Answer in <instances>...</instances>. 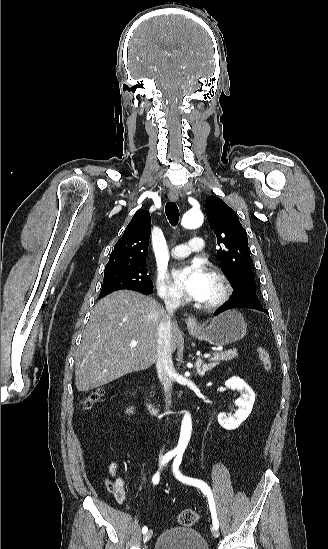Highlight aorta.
Instances as JSON below:
<instances>
[{"label":"aorta","mask_w":328,"mask_h":549,"mask_svg":"<svg viewBox=\"0 0 328 549\" xmlns=\"http://www.w3.org/2000/svg\"><path fill=\"white\" fill-rule=\"evenodd\" d=\"M204 220L203 214L197 210L187 211L181 221V225L186 229H195L202 225ZM192 430L191 416L188 412L185 413L182 423L180 438L177 445V450L184 451L188 445Z\"/></svg>","instance_id":"762f6f07"}]
</instances>
